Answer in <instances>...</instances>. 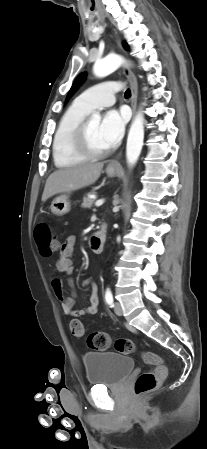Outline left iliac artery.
I'll list each match as a JSON object with an SVG mask.
<instances>
[{
	"label": "left iliac artery",
	"instance_id": "obj_1",
	"mask_svg": "<svg viewBox=\"0 0 207 449\" xmlns=\"http://www.w3.org/2000/svg\"><path fill=\"white\" fill-rule=\"evenodd\" d=\"M105 300L110 307H113L114 299H113L112 292L109 288H107L105 291Z\"/></svg>",
	"mask_w": 207,
	"mask_h": 449
}]
</instances>
